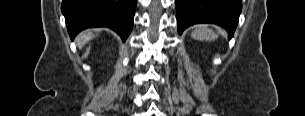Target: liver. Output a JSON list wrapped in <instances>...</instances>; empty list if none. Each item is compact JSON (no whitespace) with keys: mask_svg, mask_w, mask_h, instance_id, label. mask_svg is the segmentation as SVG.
<instances>
[{"mask_svg":"<svg viewBox=\"0 0 305 116\" xmlns=\"http://www.w3.org/2000/svg\"><path fill=\"white\" fill-rule=\"evenodd\" d=\"M93 33L91 31H86L82 33L78 40H77V45L79 48H82L89 40L93 38Z\"/></svg>","mask_w":305,"mask_h":116,"instance_id":"obj_1","label":"liver"}]
</instances>
